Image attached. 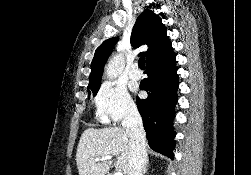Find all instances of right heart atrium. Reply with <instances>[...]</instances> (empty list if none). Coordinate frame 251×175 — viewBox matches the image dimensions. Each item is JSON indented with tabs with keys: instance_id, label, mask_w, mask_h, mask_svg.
I'll return each instance as SVG.
<instances>
[{
	"instance_id": "right-heart-atrium-1",
	"label": "right heart atrium",
	"mask_w": 251,
	"mask_h": 175,
	"mask_svg": "<svg viewBox=\"0 0 251 175\" xmlns=\"http://www.w3.org/2000/svg\"><path fill=\"white\" fill-rule=\"evenodd\" d=\"M93 104L98 121L104 124L118 123L135 113V104L127 89L114 81H103L94 97Z\"/></svg>"
}]
</instances>
